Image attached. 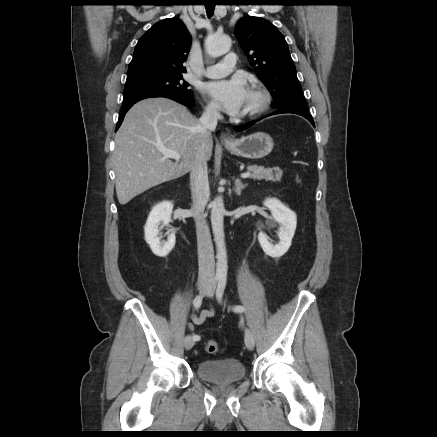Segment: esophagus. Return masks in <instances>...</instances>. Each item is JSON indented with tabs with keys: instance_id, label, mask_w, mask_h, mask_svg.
Segmentation results:
<instances>
[{
	"instance_id": "1",
	"label": "esophagus",
	"mask_w": 437,
	"mask_h": 437,
	"mask_svg": "<svg viewBox=\"0 0 437 437\" xmlns=\"http://www.w3.org/2000/svg\"><path fill=\"white\" fill-rule=\"evenodd\" d=\"M221 140L224 144H229L233 142V137L228 134H222Z\"/></svg>"
}]
</instances>
